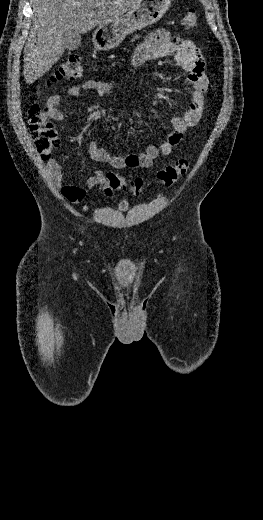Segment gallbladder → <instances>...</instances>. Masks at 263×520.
<instances>
[{"label":"gallbladder","mask_w":263,"mask_h":520,"mask_svg":"<svg viewBox=\"0 0 263 520\" xmlns=\"http://www.w3.org/2000/svg\"><path fill=\"white\" fill-rule=\"evenodd\" d=\"M65 48L68 50H75L79 47L81 42V35L79 34H64Z\"/></svg>","instance_id":"gallbladder-1"}]
</instances>
